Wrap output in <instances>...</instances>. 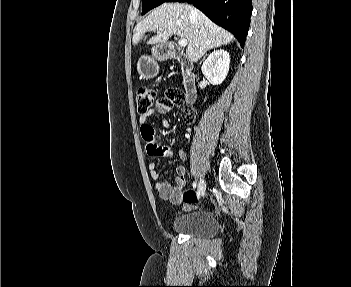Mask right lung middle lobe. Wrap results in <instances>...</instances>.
<instances>
[{
  "mask_svg": "<svg viewBox=\"0 0 351 287\" xmlns=\"http://www.w3.org/2000/svg\"><path fill=\"white\" fill-rule=\"evenodd\" d=\"M166 0H142L143 8H142V15L150 11L151 9L159 6L160 4L164 3Z\"/></svg>",
  "mask_w": 351,
  "mask_h": 287,
  "instance_id": "obj_1",
  "label": "right lung middle lobe"
}]
</instances>
